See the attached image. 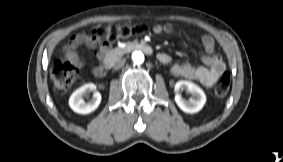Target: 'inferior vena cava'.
<instances>
[{
	"label": "inferior vena cava",
	"mask_w": 283,
	"mask_h": 162,
	"mask_svg": "<svg viewBox=\"0 0 283 162\" xmlns=\"http://www.w3.org/2000/svg\"><path fill=\"white\" fill-rule=\"evenodd\" d=\"M124 64H125V59H120V60L115 62L113 68L114 69H119V68L123 67Z\"/></svg>",
	"instance_id": "obj_1"
}]
</instances>
